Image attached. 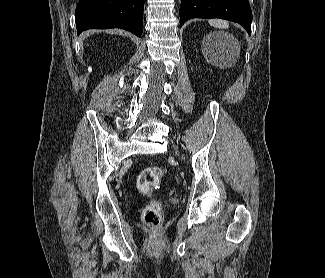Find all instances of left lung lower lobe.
Instances as JSON below:
<instances>
[{
    "instance_id": "0a47b994",
    "label": "left lung lower lobe",
    "mask_w": 325,
    "mask_h": 278,
    "mask_svg": "<svg viewBox=\"0 0 325 278\" xmlns=\"http://www.w3.org/2000/svg\"><path fill=\"white\" fill-rule=\"evenodd\" d=\"M192 18H220L241 24L251 32L252 12L248 0H182L180 27Z\"/></svg>"
}]
</instances>
